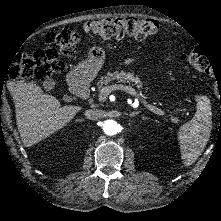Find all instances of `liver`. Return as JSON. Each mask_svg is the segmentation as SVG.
<instances>
[{
  "label": "liver",
  "instance_id": "6515ba94",
  "mask_svg": "<svg viewBox=\"0 0 221 221\" xmlns=\"http://www.w3.org/2000/svg\"><path fill=\"white\" fill-rule=\"evenodd\" d=\"M9 95L14 105L16 125L25 146H31L55 132L79 110L76 106L61 107L57 98L27 81L15 82L9 88Z\"/></svg>",
  "mask_w": 221,
  "mask_h": 221
}]
</instances>
